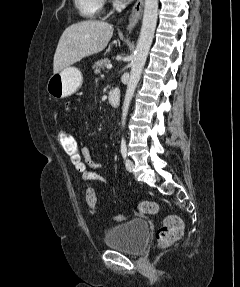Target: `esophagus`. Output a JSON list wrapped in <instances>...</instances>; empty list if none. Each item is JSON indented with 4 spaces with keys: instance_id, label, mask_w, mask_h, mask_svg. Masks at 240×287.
I'll return each instance as SVG.
<instances>
[{
    "instance_id": "1",
    "label": "esophagus",
    "mask_w": 240,
    "mask_h": 287,
    "mask_svg": "<svg viewBox=\"0 0 240 287\" xmlns=\"http://www.w3.org/2000/svg\"><path fill=\"white\" fill-rule=\"evenodd\" d=\"M144 0H137L132 8L127 29L131 31L142 16Z\"/></svg>"
}]
</instances>
